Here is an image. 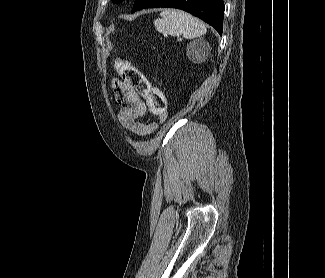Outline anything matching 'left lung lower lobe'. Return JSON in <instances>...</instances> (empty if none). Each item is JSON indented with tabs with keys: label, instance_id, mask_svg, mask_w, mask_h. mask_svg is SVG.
I'll return each mask as SVG.
<instances>
[{
	"label": "left lung lower lobe",
	"instance_id": "left-lung-lower-lobe-1",
	"mask_svg": "<svg viewBox=\"0 0 325 278\" xmlns=\"http://www.w3.org/2000/svg\"><path fill=\"white\" fill-rule=\"evenodd\" d=\"M151 7H171L185 10L213 26L222 35L223 0H135L131 13Z\"/></svg>",
	"mask_w": 325,
	"mask_h": 278
}]
</instances>
